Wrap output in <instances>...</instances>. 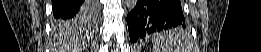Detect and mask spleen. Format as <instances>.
Returning <instances> with one entry per match:
<instances>
[{
  "mask_svg": "<svg viewBox=\"0 0 261 52\" xmlns=\"http://www.w3.org/2000/svg\"><path fill=\"white\" fill-rule=\"evenodd\" d=\"M155 52H180L182 34L180 30L157 33L153 43Z\"/></svg>",
  "mask_w": 261,
  "mask_h": 52,
  "instance_id": "spleen-1",
  "label": "spleen"
}]
</instances>
